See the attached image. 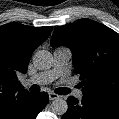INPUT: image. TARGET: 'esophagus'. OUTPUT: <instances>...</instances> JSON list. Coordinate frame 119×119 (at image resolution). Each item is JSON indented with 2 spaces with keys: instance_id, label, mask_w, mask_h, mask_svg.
Returning a JSON list of instances; mask_svg holds the SVG:
<instances>
[{
  "instance_id": "1",
  "label": "esophagus",
  "mask_w": 119,
  "mask_h": 119,
  "mask_svg": "<svg viewBox=\"0 0 119 119\" xmlns=\"http://www.w3.org/2000/svg\"><path fill=\"white\" fill-rule=\"evenodd\" d=\"M59 98V95L55 94V93H49V99L52 101V100H55V99H58Z\"/></svg>"
}]
</instances>
